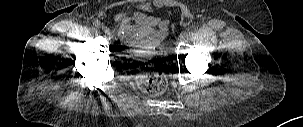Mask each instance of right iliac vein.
<instances>
[{
    "mask_svg": "<svg viewBox=\"0 0 303 127\" xmlns=\"http://www.w3.org/2000/svg\"><path fill=\"white\" fill-rule=\"evenodd\" d=\"M102 29H103V31H104L106 34H109V33H110V31H109V29H108L107 27L102 26Z\"/></svg>",
    "mask_w": 303,
    "mask_h": 127,
    "instance_id": "obj_1",
    "label": "right iliac vein"
}]
</instances>
